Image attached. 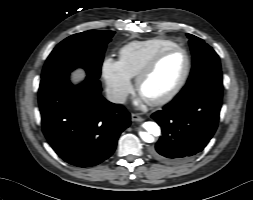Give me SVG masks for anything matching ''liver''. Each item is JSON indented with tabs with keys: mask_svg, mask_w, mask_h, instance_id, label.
<instances>
[{
	"mask_svg": "<svg viewBox=\"0 0 253 200\" xmlns=\"http://www.w3.org/2000/svg\"><path fill=\"white\" fill-rule=\"evenodd\" d=\"M86 76L85 71L83 69H76L71 73V77L73 81L76 83L82 80Z\"/></svg>",
	"mask_w": 253,
	"mask_h": 200,
	"instance_id": "obj_1",
	"label": "liver"
}]
</instances>
